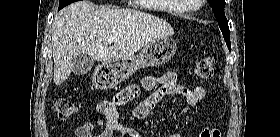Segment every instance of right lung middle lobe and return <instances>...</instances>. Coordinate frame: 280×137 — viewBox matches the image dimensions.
<instances>
[{"instance_id": "right-lung-middle-lobe-1", "label": "right lung middle lobe", "mask_w": 280, "mask_h": 137, "mask_svg": "<svg viewBox=\"0 0 280 137\" xmlns=\"http://www.w3.org/2000/svg\"><path fill=\"white\" fill-rule=\"evenodd\" d=\"M75 1L78 0H59V10Z\"/></svg>"}]
</instances>
